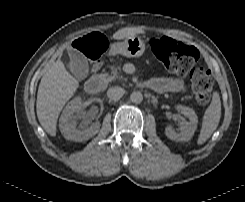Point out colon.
I'll list each match as a JSON object with an SVG mask.
<instances>
[{"label":"colon","instance_id":"colon-1","mask_svg":"<svg viewBox=\"0 0 245 202\" xmlns=\"http://www.w3.org/2000/svg\"><path fill=\"white\" fill-rule=\"evenodd\" d=\"M107 43L106 36L95 31L72 43L70 49L77 55L87 56L91 66L98 67L103 63ZM150 49L157 61L170 71L186 74L192 70V89L196 101L202 106L209 103L213 78L207 70L193 69L199 59V52L195 47L176 40L159 38L150 43Z\"/></svg>","mask_w":245,"mask_h":202}]
</instances>
